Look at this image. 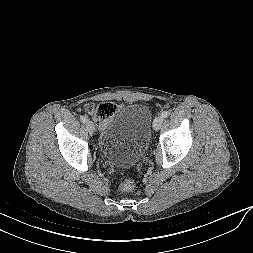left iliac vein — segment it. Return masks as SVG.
Masks as SVG:
<instances>
[{
    "label": "left iliac vein",
    "instance_id": "obj_1",
    "mask_svg": "<svg viewBox=\"0 0 253 253\" xmlns=\"http://www.w3.org/2000/svg\"><path fill=\"white\" fill-rule=\"evenodd\" d=\"M162 123H163V117L162 116H157L155 119H154V122H153V128L154 130H159L162 126Z\"/></svg>",
    "mask_w": 253,
    "mask_h": 253
}]
</instances>
